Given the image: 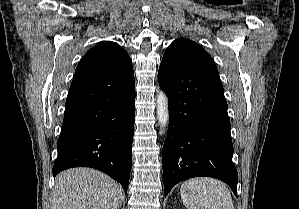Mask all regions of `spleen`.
Listing matches in <instances>:
<instances>
[{"label": "spleen", "mask_w": 299, "mask_h": 209, "mask_svg": "<svg viewBox=\"0 0 299 209\" xmlns=\"http://www.w3.org/2000/svg\"><path fill=\"white\" fill-rule=\"evenodd\" d=\"M180 193L187 209H235L229 189L214 178L189 179Z\"/></svg>", "instance_id": "spleen-1"}]
</instances>
